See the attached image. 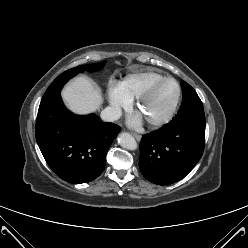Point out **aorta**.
<instances>
[{
	"label": "aorta",
	"mask_w": 248,
	"mask_h": 248,
	"mask_svg": "<svg viewBox=\"0 0 248 248\" xmlns=\"http://www.w3.org/2000/svg\"><path fill=\"white\" fill-rule=\"evenodd\" d=\"M118 143L121 147L128 150H136L137 142L132 135L129 133H121L118 137Z\"/></svg>",
	"instance_id": "1"
}]
</instances>
